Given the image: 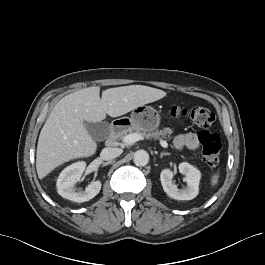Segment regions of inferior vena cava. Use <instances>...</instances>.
I'll return each instance as SVG.
<instances>
[{
	"label": "inferior vena cava",
	"instance_id": "inferior-vena-cava-1",
	"mask_svg": "<svg viewBox=\"0 0 265 265\" xmlns=\"http://www.w3.org/2000/svg\"><path fill=\"white\" fill-rule=\"evenodd\" d=\"M123 152L122 149L120 148H111V147H108V148H104L102 151H101V158L103 160H111V159H114L116 157H118L119 155H121Z\"/></svg>",
	"mask_w": 265,
	"mask_h": 265
}]
</instances>
